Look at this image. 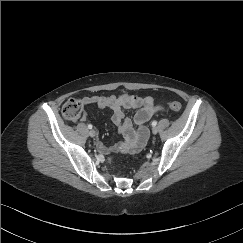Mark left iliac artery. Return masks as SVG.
Segmentation results:
<instances>
[{"instance_id": "left-iliac-artery-1", "label": "left iliac artery", "mask_w": 243, "mask_h": 243, "mask_svg": "<svg viewBox=\"0 0 243 243\" xmlns=\"http://www.w3.org/2000/svg\"><path fill=\"white\" fill-rule=\"evenodd\" d=\"M157 125V121L152 122V126L155 127Z\"/></svg>"}]
</instances>
